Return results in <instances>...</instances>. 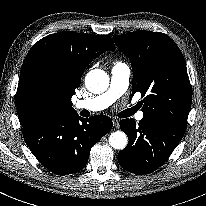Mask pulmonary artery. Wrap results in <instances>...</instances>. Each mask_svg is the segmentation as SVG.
I'll return each instance as SVG.
<instances>
[{
	"label": "pulmonary artery",
	"instance_id": "e3ab8cb5",
	"mask_svg": "<svg viewBox=\"0 0 206 206\" xmlns=\"http://www.w3.org/2000/svg\"><path fill=\"white\" fill-rule=\"evenodd\" d=\"M130 68L124 63H116L111 69V78L109 88L102 94L87 100L76 102V109H86L91 112H98L108 108L127 90L130 78ZM137 121L144 118L143 112H137L135 115Z\"/></svg>",
	"mask_w": 206,
	"mask_h": 206
}]
</instances>
